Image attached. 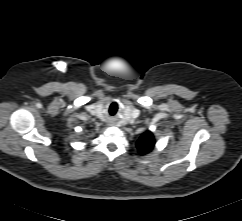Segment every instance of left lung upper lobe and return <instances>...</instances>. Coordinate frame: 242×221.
Instances as JSON below:
<instances>
[{"label": "left lung upper lobe", "instance_id": "obj_1", "mask_svg": "<svg viewBox=\"0 0 242 221\" xmlns=\"http://www.w3.org/2000/svg\"><path fill=\"white\" fill-rule=\"evenodd\" d=\"M154 144L155 140L153 134L150 131H147L144 134H142V136L136 143L138 151L141 155L150 152L153 149Z\"/></svg>", "mask_w": 242, "mask_h": 221}]
</instances>
